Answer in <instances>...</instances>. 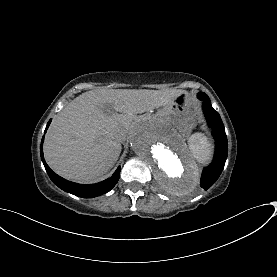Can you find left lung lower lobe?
<instances>
[{
	"mask_svg": "<svg viewBox=\"0 0 277 277\" xmlns=\"http://www.w3.org/2000/svg\"><path fill=\"white\" fill-rule=\"evenodd\" d=\"M203 111L216 141L214 159L204 168L200 180L201 187L207 190L216 182L224 168L228 155V142L223 122L219 113L211 106V102L203 101Z\"/></svg>",
	"mask_w": 277,
	"mask_h": 277,
	"instance_id": "0a47b994",
	"label": "left lung lower lobe"
}]
</instances>
